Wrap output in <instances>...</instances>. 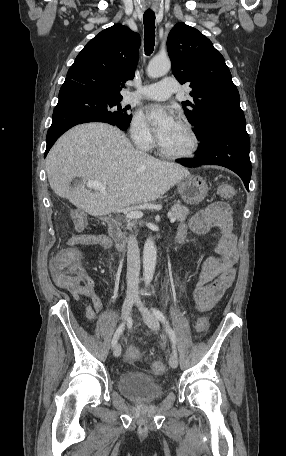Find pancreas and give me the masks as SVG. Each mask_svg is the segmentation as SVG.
<instances>
[{"label": "pancreas", "mask_w": 286, "mask_h": 456, "mask_svg": "<svg viewBox=\"0 0 286 456\" xmlns=\"http://www.w3.org/2000/svg\"><path fill=\"white\" fill-rule=\"evenodd\" d=\"M171 214L173 217H175V219L177 221H185V219L187 218L188 214H189V209L179 203L173 205L171 207ZM135 224L136 222L133 221V222H130L128 223V228H131V227H135Z\"/></svg>", "instance_id": "pancreas-1"}]
</instances>
